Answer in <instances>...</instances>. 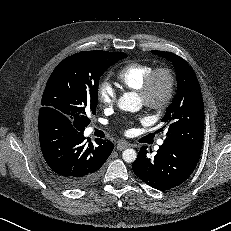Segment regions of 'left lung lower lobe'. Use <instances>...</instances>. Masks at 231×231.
Segmentation results:
<instances>
[{
	"label": "left lung lower lobe",
	"mask_w": 231,
	"mask_h": 231,
	"mask_svg": "<svg viewBox=\"0 0 231 231\" xmlns=\"http://www.w3.org/2000/svg\"><path fill=\"white\" fill-rule=\"evenodd\" d=\"M200 155L201 150L163 143L154 158H149L143 146L132 169L143 182L164 191L182 184L194 171Z\"/></svg>",
	"instance_id": "1"
}]
</instances>
